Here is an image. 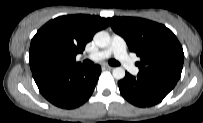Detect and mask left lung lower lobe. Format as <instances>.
Segmentation results:
<instances>
[{"label": "left lung lower lobe", "mask_w": 203, "mask_h": 123, "mask_svg": "<svg viewBox=\"0 0 203 123\" xmlns=\"http://www.w3.org/2000/svg\"><path fill=\"white\" fill-rule=\"evenodd\" d=\"M177 81L163 75L139 72L135 77L126 72V76L118 82V86L122 96L131 104L149 107L162 101Z\"/></svg>", "instance_id": "1"}]
</instances>
